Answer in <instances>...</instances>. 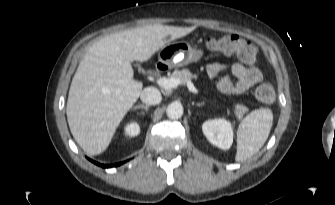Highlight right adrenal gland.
<instances>
[{"label": "right adrenal gland", "mask_w": 335, "mask_h": 205, "mask_svg": "<svg viewBox=\"0 0 335 205\" xmlns=\"http://www.w3.org/2000/svg\"><path fill=\"white\" fill-rule=\"evenodd\" d=\"M136 109H143L145 111H148L149 110V106L148 105H142V104H139V105H136L133 110H136Z\"/></svg>", "instance_id": "2a0ac1e0"}]
</instances>
